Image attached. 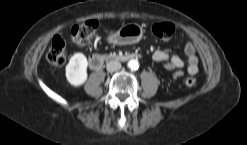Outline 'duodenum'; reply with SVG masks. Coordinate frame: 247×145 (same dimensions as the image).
I'll return each instance as SVG.
<instances>
[{
	"label": "duodenum",
	"instance_id": "410a0bca",
	"mask_svg": "<svg viewBox=\"0 0 247 145\" xmlns=\"http://www.w3.org/2000/svg\"><path fill=\"white\" fill-rule=\"evenodd\" d=\"M140 58V54L137 53H128V54H122V55H115L112 56L111 59L115 61H129L132 59ZM105 61V58L102 55L99 54H92L89 56L88 63L91 69L93 70H99L103 63Z\"/></svg>",
	"mask_w": 247,
	"mask_h": 145
}]
</instances>
